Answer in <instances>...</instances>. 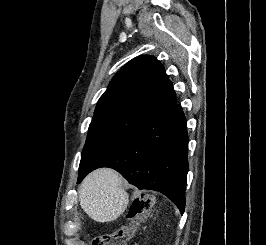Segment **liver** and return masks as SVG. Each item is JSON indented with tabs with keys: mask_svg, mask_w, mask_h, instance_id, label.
I'll use <instances>...</instances> for the list:
<instances>
[{
	"mask_svg": "<svg viewBox=\"0 0 266 245\" xmlns=\"http://www.w3.org/2000/svg\"><path fill=\"white\" fill-rule=\"evenodd\" d=\"M80 207L97 221H116L128 207L129 197L123 179L113 169H97L85 177L79 189Z\"/></svg>",
	"mask_w": 266,
	"mask_h": 245,
	"instance_id": "6515ba94",
	"label": "liver"
}]
</instances>
